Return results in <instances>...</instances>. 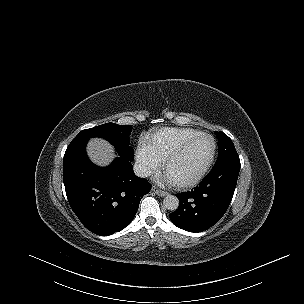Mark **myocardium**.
Masks as SVG:
<instances>
[{
  "label": "myocardium",
  "mask_w": 304,
  "mask_h": 304,
  "mask_svg": "<svg viewBox=\"0 0 304 304\" xmlns=\"http://www.w3.org/2000/svg\"><path fill=\"white\" fill-rule=\"evenodd\" d=\"M205 137L210 138L213 143V148H212V152H211L209 159L207 160V162L205 163L203 168L199 171V173H197L191 179L184 180V181H176V182L174 181L173 185H175L176 187H178V188L191 187V186L197 184L198 182H200L204 178L206 173L209 171V169L214 161L215 155H216V149H217L216 140L212 135H210L208 133H200L199 135L191 138L190 140H188L185 143H183L182 145H180L173 152H171L168 155V157L166 158L165 163H164V171H165V174L168 176V169H169L171 162L174 159H176L178 156H180L193 143H195L196 141L200 140L201 138H205Z\"/></svg>",
  "instance_id": "obj_1"
}]
</instances>
